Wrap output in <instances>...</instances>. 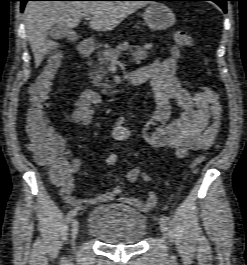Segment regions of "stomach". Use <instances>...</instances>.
<instances>
[{
  "label": "stomach",
  "mask_w": 247,
  "mask_h": 265,
  "mask_svg": "<svg viewBox=\"0 0 247 265\" xmlns=\"http://www.w3.org/2000/svg\"><path fill=\"white\" fill-rule=\"evenodd\" d=\"M144 20L151 30H165L175 24L173 11L162 3H151L144 11Z\"/></svg>",
  "instance_id": "0dacf381"
}]
</instances>
